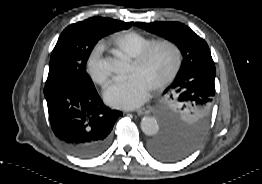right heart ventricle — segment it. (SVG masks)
Instances as JSON below:
<instances>
[{"label":"right heart ventricle","instance_id":"obj_1","mask_svg":"<svg viewBox=\"0 0 262 184\" xmlns=\"http://www.w3.org/2000/svg\"><path fill=\"white\" fill-rule=\"evenodd\" d=\"M155 39L147 37L135 31L119 34L114 39V44L121 54L135 58L142 50L155 42Z\"/></svg>","mask_w":262,"mask_h":184}]
</instances>
